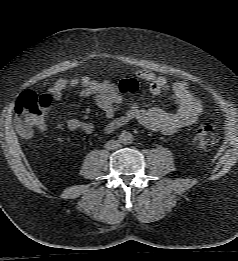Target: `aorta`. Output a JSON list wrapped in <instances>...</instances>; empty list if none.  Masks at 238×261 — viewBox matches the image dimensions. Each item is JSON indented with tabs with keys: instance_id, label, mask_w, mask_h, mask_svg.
Wrapping results in <instances>:
<instances>
[{
	"instance_id": "obj_1",
	"label": "aorta",
	"mask_w": 238,
	"mask_h": 261,
	"mask_svg": "<svg viewBox=\"0 0 238 261\" xmlns=\"http://www.w3.org/2000/svg\"><path fill=\"white\" fill-rule=\"evenodd\" d=\"M133 141V135L130 133V132H126L124 131L122 134H121V142L123 144H129Z\"/></svg>"
}]
</instances>
